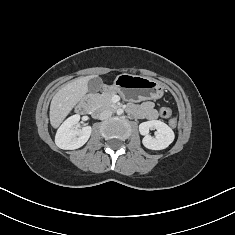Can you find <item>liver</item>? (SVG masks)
Segmentation results:
<instances>
[{
    "instance_id": "1",
    "label": "liver",
    "mask_w": 235,
    "mask_h": 235,
    "mask_svg": "<svg viewBox=\"0 0 235 235\" xmlns=\"http://www.w3.org/2000/svg\"><path fill=\"white\" fill-rule=\"evenodd\" d=\"M94 76L76 78L66 83L52 98L49 118L53 128H58L76 104L88 92V81Z\"/></svg>"
}]
</instances>
